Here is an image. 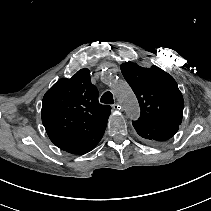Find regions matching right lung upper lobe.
<instances>
[{
    "instance_id": "right-lung-upper-lobe-1",
    "label": "right lung upper lobe",
    "mask_w": 211,
    "mask_h": 211,
    "mask_svg": "<svg viewBox=\"0 0 211 211\" xmlns=\"http://www.w3.org/2000/svg\"><path fill=\"white\" fill-rule=\"evenodd\" d=\"M110 113V106L98 102V90L88 69L58 80L42 101L46 132L64 151L101 139Z\"/></svg>"
}]
</instances>
